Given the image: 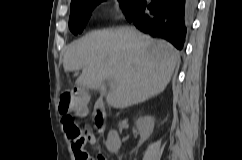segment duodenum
Segmentation results:
<instances>
[{
  "label": "duodenum",
  "mask_w": 242,
  "mask_h": 160,
  "mask_svg": "<svg viewBox=\"0 0 242 160\" xmlns=\"http://www.w3.org/2000/svg\"><path fill=\"white\" fill-rule=\"evenodd\" d=\"M107 112L103 101L97 100L93 110L94 127L98 131H102L105 127Z\"/></svg>",
  "instance_id": "duodenum-1"
}]
</instances>
